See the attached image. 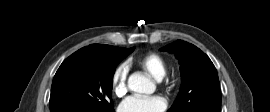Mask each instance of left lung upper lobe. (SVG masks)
Here are the masks:
<instances>
[{
    "mask_svg": "<svg viewBox=\"0 0 270 112\" xmlns=\"http://www.w3.org/2000/svg\"><path fill=\"white\" fill-rule=\"evenodd\" d=\"M175 54L181 64L179 95L168 112H221V92L215 66L196 46L177 40L161 48Z\"/></svg>",
    "mask_w": 270,
    "mask_h": 112,
    "instance_id": "left-lung-upper-lobe-1",
    "label": "left lung upper lobe"
}]
</instances>
